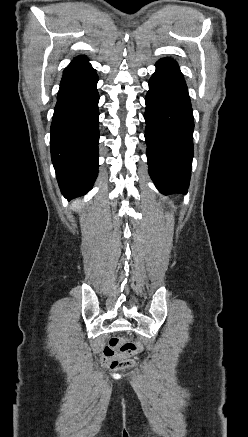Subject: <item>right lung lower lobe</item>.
Here are the masks:
<instances>
[{
	"mask_svg": "<svg viewBox=\"0 0 248 437\" xmlns=\"http://www.w3.org/2000/svg\"><path fill=\"white\" fill-rule=\"evenodd\" d=\"M87 58L64 70L51 124V158L62 194L85 195L98 175V76Z\"/></svg>",
	"mask_w": 248,
	"mask_h": 437,
	"instance_id": "1",
	"label": "right lung lower lobe"
}]
</instances>
